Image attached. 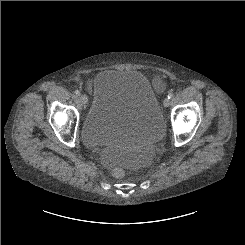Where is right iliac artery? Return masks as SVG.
<instances>
[{
	"label": "right iliac artery",
	"mask_w": 245,
	"mask_h": 245,
	"mask_svg": "<svg viewBox=\"0 0 245 245\" xmlns=\"http://www.w3.org/2000/svg\"><path fill=\"white\" fill-rule=\"evenodd\" d=\"M75 94L79 96L81 93L79 90H75Z\"/></svg>",
	"instance_id": "82829eb1"
}]
</instances>
